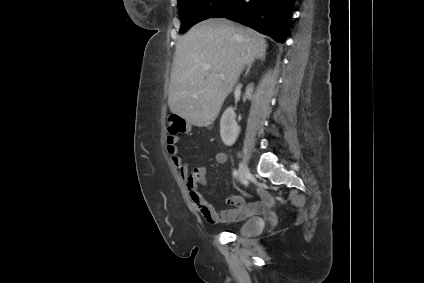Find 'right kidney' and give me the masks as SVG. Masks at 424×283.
<instances>
[{"label": "right kidney", "instance_id": "obj_1", "mask_svg": "<svg viewBox=\"0 0 424 283\" xmlns=\"http://www.w3.org/2000/svg\"><path fill=\"white\" fill-rule=\"evenodd\" d=\"M253 84H249L246 88V97L252 99ZM240 133V127L236 122V114L232 107H228L220 121V136L223 143L227 146H232Z\"/></svg>", "mask_w": 424, "mask_h": 283}]
</instances>
